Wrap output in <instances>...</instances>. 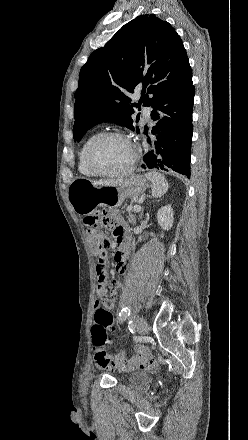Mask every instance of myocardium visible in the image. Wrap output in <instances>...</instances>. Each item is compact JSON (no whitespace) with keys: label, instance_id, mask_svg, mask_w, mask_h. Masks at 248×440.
Returning <instances> with one entry per match:
<instances>
[{"label":"myocardium","instance_id":"myocardium-1","mask_svg":"<svg viewBox=\"0 0 248 440\" xmlns=\"http://www.w3.org/2000/svg\"><path fill=\"white\" fill-rule=\"evenodd\" d=\"M112 137H117V138H122L125 139L129 142L131 149H132V158L129 162V164L122 170L120 171H116V172H105V171H101L99 169H97L93 163V153L95 148L105 139L107 138H112ZM138 160V153L136 151V148L131 140V138L126 135L125 133L121 132V131H117V130H113V131H105L102 132L100 134H98L90 143V145L87 148L86 151V164L88 166V168L90 169V171L96 175V176H101V177H121L124 175H127L128 173H130L131 171H133V169L135 168V165L137 163Z\"/></svg>","mask_w":248,"mask_h":440}]
</instances>
